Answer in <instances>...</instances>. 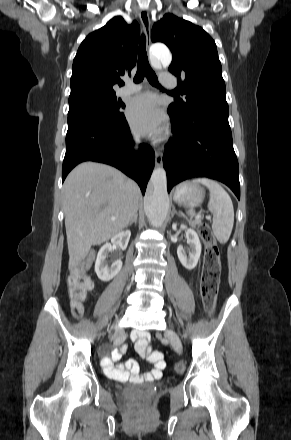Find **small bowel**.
Wrapping results in <instances>:
<instances>
[{
	"instance_id": "obj_1",
	"label": "small bowel",
	"mask_w": 291,
	"mask_h": 440,
	"mask_svg": "<svg viewBox=\"0 0 291 440\" xmlns=\"http://www.w3.org/2000/svg\"><path fill=\"white\" fill-rule=\"evenodd\" d=\"M133 338H138L136 343V351L140 354H145L147 356V360L154 365V369L145 374H140L139 364L135 360H129L125 364L115 367L114 364L119 359L120 352H125L127 349V346L122 345L120 346L119 350L113 351L111 356H108L103 360L104 371L111 377L118 379L129 378L132 382L138 383L149 382L160 378L163 370L166 367L162 356H160L158 359L153 358V354L150 353L148 348V338L145 332L138 331L133 335ZM177 370L183 371L184 367L178 365Z\"/></svg>"
}]
</instances>
